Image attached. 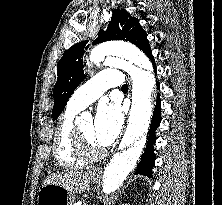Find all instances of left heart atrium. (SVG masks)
<instances>
[{
  "label": "left heart atrium",
  "instance_id": "left-heart-atrium-1",
  "mask_svg": "<svg viewBox=\"0 0 222 205\" xmlns=\"http://www.w3.org/2000/svg\"><path fill=\"white\" fill-rule=\"evenodd\" d=\"M123 116L118 105H99L93 123L94 137L101 147L109 146L119 135Z\"/></svg>",
  "mask_w": 222,
  "mask_h": 205
}]
</instances>
